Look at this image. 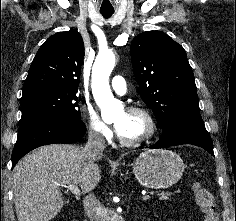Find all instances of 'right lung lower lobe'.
Listing matches in <instances>:
<instances>
[{"label":"right lung lower lobe","mask_w":236,"mask_h":221,"mask_svg":"<svg viewBox=\"0 0 236 221\" xmlns=\"http://www.w3.org/2000/svg\"><path fill=\"white\" fill-rule=\"evenodd\" d=\"M86 133L82 122H72L53 116H37L21 120L17 141L12 153V168L29 151L47 144H70Z\"/></svg>","instance_id":"98d812e1"}]
</instances>
